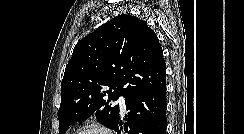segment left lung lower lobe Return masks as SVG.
I'll return each instance as SVG.
<instances>
[{
  "mask_svg": "<svg viewBox=\"0 0 244 134\" xmlns=\"http://www.w3.org/2000/svg\"><path fill=\"white\" fill-rule=\"evenodd\" d=\"M126 109L124 131L129 134H166V84L145 89L125 98ZM111 129L118 134L123 123L118 115Z\"/></svg>",
  "mask_w": 244,
  "mask_h": 134,
  "instance_id": "1",
  "label": "left lung lower lobe"
}]
</instances>
